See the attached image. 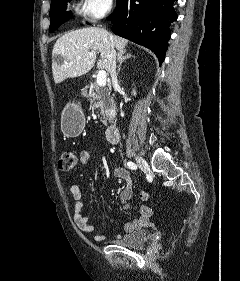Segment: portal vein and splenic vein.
Returning <instances> with one entry per match:
<instances>
[{
	"mask_svg": "<svg viewBox=\"0 0 240 281\" xmlns=\"http://www.w3.org/2000/svg\"><path fill=\"white\" fill-rule=\"evenodd\" d=\"M89 55H92V53H89ZM106 77H107V74H106V72L104 71V70H101V71H99L98 72V74H97V85L99 86V87H105V85H106Z\"/></svg>",
	"mask_w": 240,
	"mask_h": 281,
	"instance_id": "obj_1",
	"label": "portal vein and splenic vein"
}]
</instances>
